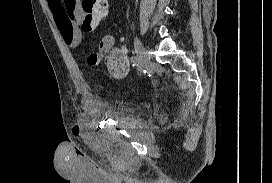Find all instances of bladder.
Segmentation results:
<instances>
[{
  "label": "bladder",
  "instance_id": "obj_1",
  "mask_svg": "<svg viewBox=\"0 0 272 183\" xmlns=\"http://www.w3.org/2000/svg\"><path fill=\"white\" fill-rule=\"evenodd\" d=\"M112 116L114 117V119L117 122H121V121H123L125 119L126 114L125 113H115V114H112Z\"/></svg>",
  "mask_w": 272,
  "mask_h": 183
}]
</instances>
